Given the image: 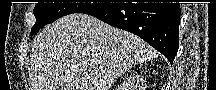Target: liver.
Instances as JSON below:
<instances>
[{"mask_svg":"<svg viewBox=\"0 0 216 90\" xmlns=\"http://www.w3.org/2000/svg\"><path fill=\"white\" fill-rule=\"evenodd\" d=\"M153 56L138 36L87 14H70L32 42L30 82L32 90H110L121 74Z\"/></svg>","mask_w":216,"mask_h":90,"instance_id":"6515ba94","label":"liver"}]
</instances>
